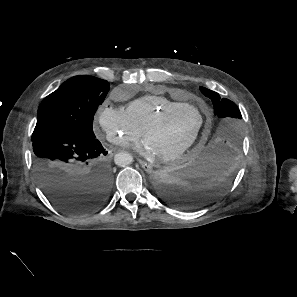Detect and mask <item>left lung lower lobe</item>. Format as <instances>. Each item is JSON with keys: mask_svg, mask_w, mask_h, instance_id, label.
Returning a JSON list of instances; mask_svg holds the SVG:
<instances>
[{"mask_svg": "<svg viewBox=\"0 0 297 297\" xmlns=\"http://www.w3.org/2000/svg\"><path fill=\"white\" fill-rule=\"evenodd\" d=\"M237 152L217 143L197 146L154 176L159 196L169 205L197 209L217 200L231 185Z\"/></svg>", "mask_w": 297, "mask_h": 297, "instance_id": "obj_1", "label": "left lung lower lobe"}]
</instances>
